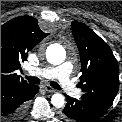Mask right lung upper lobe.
Listing matches in <instances>:
<instances>
[{"label":"right lung upper lobe","instance_id":"1","mask_svg":"<svg viewBox=\"0 0 122 122\" xmlns=\"http://www.w3.org/2000/svg\"><path fill=\"white\" fill-rule=\"evenodd\" d=\"M48 33L33 17H16L1 26V86L29 85L15 71L27 60L28 52Z\"/></svg>","mask_w":122,"mask_h":122}]
</instances>
